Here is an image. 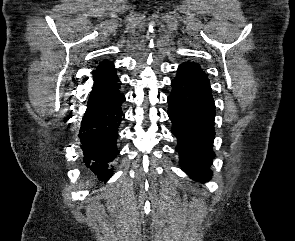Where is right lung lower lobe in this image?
Masks as SVG:
<instances>
[{"instance_id":"obj_1","label":"right lung lower lobe","mask_w":295,"mask_h":241,"mask_svg":"<svg viewBox=\"0 0 295 241\" xmlns=\"http://www.w3.org/2000/svg\"><path fill=\"white\" fill-rule=\"evenodd\" d=\"M120 85L117 80L92 88L79 133L85 165L105 182L112 174L110 162L119 154L117 138L123 116L121 105L125 101Z\"/></svg>"}]
</instances>
